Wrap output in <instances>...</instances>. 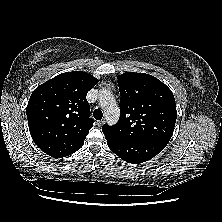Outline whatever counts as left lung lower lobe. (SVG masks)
<instances>
[{
  "label": "left lung lower lobe",
  "instance_id": "obj_1",
  "mask_svg": "<svg viewBox=\"0 0 222 222\" xmlns=\"http://www.w3.org/2000/svg\"><path fill=\"white\" fill-rule=\"evenodd\" d=\"M109 148L128 163L146 162L160 153L166 145L149 141H128L103 131Z\"/></svg>",
  "mask_w": 222,
  "mask_h": 222
}]
</instances>
